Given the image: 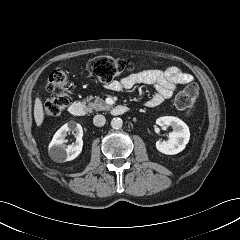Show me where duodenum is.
Instances as JSON below:
<instances>
[{
	"instance_id": "duodenum-1",
	"label": "duodenum",
	"mask_w": 240,
	"mask_h": 240,
	"mask_svg": "<svg viewBox=\"0 0 240 240\" xmlns=\"http://www.w3.org/2000/svg\"><path fill=\"white\" fill-rule=\"evenodd\" d=\"M129 111V108L125 105H116L111 109L112 115H122ZM69 112L74 117H82L86 113V107L81 101H74L70 107Z\"/></svg>"
}]
</instances>
